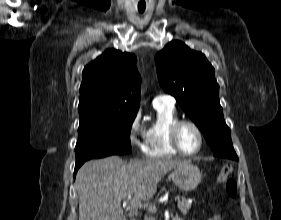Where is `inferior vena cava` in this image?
I'll return each mask as SVG.
<instances>
[{
  "instance_id": "1",
  "label": "inferior vena cava",
  "mask_w": 281,
  "mask_h": 220,
  "mask_svg": "<svg viewBox=\"0 0 281 220\" xmlns=\"http://www.w3.org/2000/svg\"><path fill=\"white\" fill-rule=\"evenodd\" d=\"M144 220H154V219H153V218H151V217H147V216H145Z\"/></svg>"
}]
</instances>
